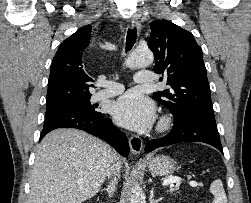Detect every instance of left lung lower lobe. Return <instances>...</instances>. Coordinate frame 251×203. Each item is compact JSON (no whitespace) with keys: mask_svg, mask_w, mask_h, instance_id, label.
<instances>
[{"mask_svg":"<svg viewBox=\"0 0 251 203\" xmlns=\"http://www.w3.org/2000/svg\"><path fill=\"white\" fill-rule=\"evenodd\" d=\"M181 142L207 143L223 153L215 120L202 116H190L180 122H174L172 130L166 136L147 142L145 152Z\"/></svg>","mask_w":251,"mask_h":203,"instance_id":"1","label":"left lung lower lobe"}]
</instances>
